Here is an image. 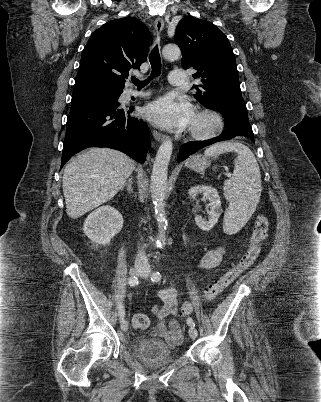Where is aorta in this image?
Segmentation results:
<instances>
[{
    "label": "aorta",
    "instance_id": "obj_1",
    "mask_svg": "<svg viewBox=\"0 0 321 402\" xmlns=\"http://www.w3.org/2000/svg\"><path fill=\"white\" fill-rule=\"evenodd\" d=\"M180 54L181 51L176 45H166L162 50L163 57L168 60L178 59ZM172 150V140L166 138L157 151L150 182V192L158 222V239L160 241H163L164 239V231L167 224L164 199L167 188L168 165L172 155Z\"/></svg>",
    "mask_w": 321,
    "mask_h": 402
}]
</instances>
